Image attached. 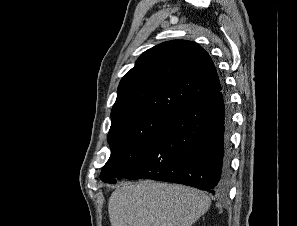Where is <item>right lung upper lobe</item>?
<instances>
[{
    "mask_svg": "<svg viewBox=\"0 0 297 226\" xmlns=\"http://www.w3.org/2000/svg\"><path fill=\"white\" fill-rule=\"evenodd\" d=\"M222 90L209 54L197 43L172 40L145 51L122 78L111 111L113 123L180 107Z\"/></svg>",
    "mask_w": 297,
    "mask_h": 226,
    "instance_id": "cb5924a9",
    "label": "right lung upper lobe"
}]
</instances>
